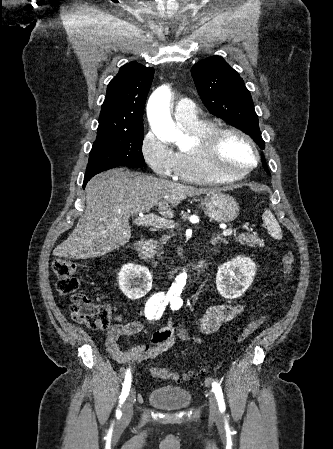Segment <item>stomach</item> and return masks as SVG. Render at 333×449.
Wrapping results in <instances>:
<instances>
[{
	"instance_id": "1",
	"label": "stomach",
	"mask_w": 333,
	"mask_h": 449,
	"mask_svg": "<svg viewBox=\"0 0 333 449\" xmlns=\"http://www.w3.org/2000/svg\"><path fill=\"white\" fill-rule=\"evenodd\" d=\"M201 206L211 220L227 223L235 220L239 214V204L230 195L221 192L207 194L201 199Z\"/></svg>"
}]
</instances>
